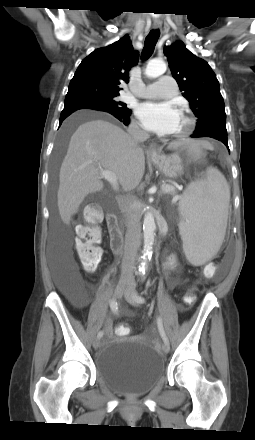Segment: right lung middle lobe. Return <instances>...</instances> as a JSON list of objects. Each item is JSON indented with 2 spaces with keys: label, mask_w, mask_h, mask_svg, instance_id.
<instances>
[{
  "label": "right lung middle lobe",
  "mask_w": 255,
  "mask_h": 440,
  "mask_svg": "<svg viewBox=\"0 0 255 440\" xmlns=\"http://www.w3.org/2000/svg\"><path fill=\"white\" fill-rule=\"evenodd\" d=\"M119 94H103V93H91L81 97L76 98H65V104L83 102V103H91V104H99L104 105L106 107L118 110L120 112H129V110L125 104L122 102H118L115 98ZM67 137V132H64L60 141V146L64 145Z\"/></svg>",
  "instance_id": "dd1d6c3e"
}]
</instances>
